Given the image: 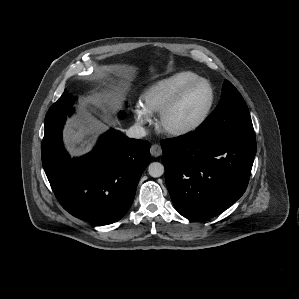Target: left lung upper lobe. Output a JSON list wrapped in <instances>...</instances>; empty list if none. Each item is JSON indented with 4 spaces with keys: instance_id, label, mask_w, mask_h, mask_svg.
<instances>
[{
    "instance_id": "obj_1",
    "label": "left lung upper lobe",
    "mask_w": 299,
    "mask_h": 299,
    "mask_svg": "<svg viewBox=\"0 0 299 299\" xmlns=\"http://www.w3.org/2000/svg\"><path fill=\"white\" fill-rule=\"evenodd\" d=\"M202 134L254 133L248 107L238 90L225 80L216 109L196 130Z\"/></svg>"
}]
</instances>
